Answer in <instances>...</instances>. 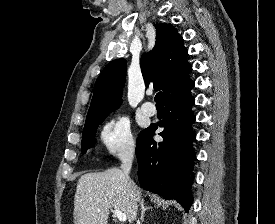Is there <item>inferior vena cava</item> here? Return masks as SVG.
Instances as JSON below:
<instances>
[{"instance_id":"602c4592","label":"inferior vena cava","mask_w":275,"mask_h":224,"mask_svg":"<svg viewBox=\"0 0 275 224\" xmlns=\"http://www.w3.org/2000/svg\"><path fill=\"white\" fill-rule=\"evenodd\" d=\"M134 156V149H128L119 155L122 162V170L125 177L129 180V173L132 167V161Z\"/></svg>"}]
</instances>
